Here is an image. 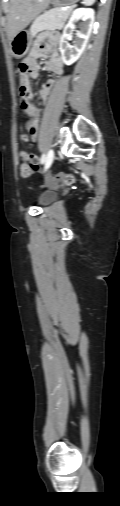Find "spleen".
Instances as JSON below:
<instances>
[{
    "mask_svg": "<svg viewBox=\"0 0 120 506\" xmlns=\"http://www.w3.org/2000/svg\"><path fill=\"white\" fill-rule=\"evenodd\" d=\"M94 2H95V0H83L84 5H86V6L93 5Z\"/></svg>",
    "mask_w": 120,
    "mask_h": 506,
    "instance_id": "spleen-1",
    "label": "spleen"
}]
</instances>
